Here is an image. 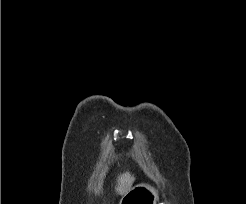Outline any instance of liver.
Returning <instances> with one entry per match:
<instances>
[{"instance_id": "1", "label": "liver", "mask_w": 246, "mask_h": 204, "mask_svg": "<svg viewBox=\"0 0 246 204\" xmlns=\"http://www.w3.org/2000/svg\"><path fill=\"white\" fill-rule=\"evenodd\" d=\"M135 177L129 172H125L118 177L116 191L120 195H125L132 187Z\"/></svg>"}]
</instances>
